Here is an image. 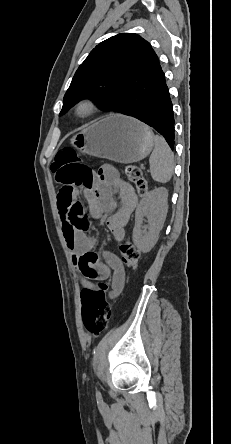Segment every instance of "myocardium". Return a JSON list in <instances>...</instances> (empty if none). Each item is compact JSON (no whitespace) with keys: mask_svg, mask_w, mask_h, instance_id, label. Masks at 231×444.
<instances>
[{"mask_svg":"<svg viewBox=\"0 0 231 444\" xmlns=\"http://www.w3.org/2000/svg\"><path fill=\"white\" fill-rule=\"evenodd\" d=\"M97 111L96 103L89 98L79 100L74 106V114L78 118H88Z\"/></svg>","mask_w":231,"mask_h":444,"instance_id":"f54148a6","label":"myocardium"}]
</instances>
